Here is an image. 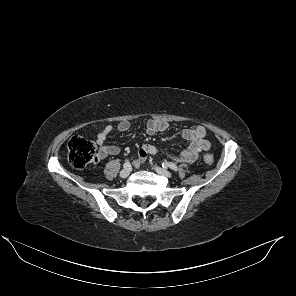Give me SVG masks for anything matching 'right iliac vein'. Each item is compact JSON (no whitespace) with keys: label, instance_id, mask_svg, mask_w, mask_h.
Wrapping results in <instances>:
<instances>
[{"label":"right iliac vein","instance_id":"1","mask_svg":"<svg viewBox=\"0 0 296 296\" xmlns=\"http://www.w3.org/2000/svg\"><path fill=\"white\" fill-rule=\"evenodd\" d=\"M129 174H130L129 170L127 168H125V169L121 170L120 177L127 178L129 176Z\"/></svg>","mask_w":296,"mask_h":296}]
</instances>
